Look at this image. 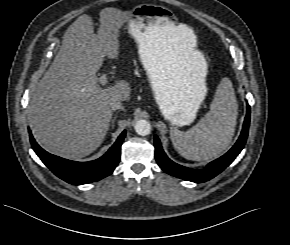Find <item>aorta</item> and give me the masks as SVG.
<instances>
[{
  "instance_id": "obj_1",
  "label": "aorta",
  "mask_w": 290,
  "mask_h": 245,
  "mask_svg": "<svg viewBox=\"0 0 290 245\" xmlns=\"http://www.w3.org/2000/svg\"><path fill=\"white\" fill-rule=\"evenodd\" d=\"M134 128L136 133L140 136H147L151 133V124L147 120H138Z\"/></svg>"
}]
</instances>
